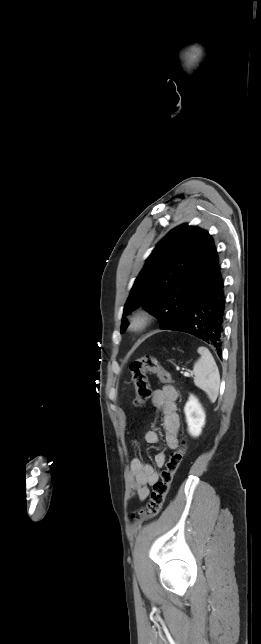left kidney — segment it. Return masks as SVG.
I'll use <instances>...</instances> for the list:
<instances>
[{
  "label": "left kidney",
  "instance_id": "1",
  "mask_svg": "<svg viewBox=\"0 0 261 644\" xmlns=\"http://www.w3.org/2000/svg\"><path fill=\"white\" fill-rule=\"evenodd\" d=\"M184 413L189 433L194 437L199 436L202 432V427L205 425L206 416L204 409L195 396L190 395L184 407Z\"/></svg>",
  "mask_w": 261,
  "mask_h": 644
}]
</instances>
